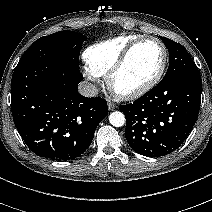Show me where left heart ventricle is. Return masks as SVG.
<instances>
[{
	"instance_id": "1",
	"label": "left heart ventricle",
	"mask_w": 212,
	"mask_h": 212,
	"mask_svg": "<svg viewBox=\"0 0 212 212\" xmlns=\"http://www.w3.org/2000/svg\"><path fill=\"white\" fill-rule=\"evenodd\" d=\"M162 57V50L156 43L138 45L115 78V86L120 91H130L145 84L158 71Z\"/></svg>"
}]
</instances>
